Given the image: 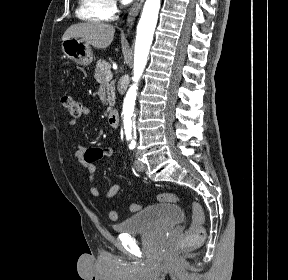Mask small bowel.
Wrapping results in <instances>:
<instances>
[{
  "mask_svg": "<svg viewBox=\"0 0 288 280\" xmlns=\"http://www.w3.org/2000/svg\"><path fill=\"white\" fill-rule=\"evenodd\" d=\"M91 111L88 107H83L82 116L90 115ZM69 126H76L77 121L75 119H71L68 122ZM115 151L112 148H100V147H91L86 148L83 146H79L75 152V157L81 162L87 171L88 178L91 182L90 193L94 197L103 196L105 198H112L116 196L121 191L120 184H113L106 192L102 193L100 189H98L93 184L94 173H95V162L106 157H112Z\"/></svg>",
  "mask_w": 288,
  "mask_h": 280,
  "instance_id": "small-bowel-1",
  "label": "small bowel"
}]
</instances>
